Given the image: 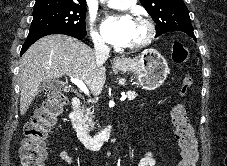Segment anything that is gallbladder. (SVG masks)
I'll return each mask as SVG.
<instances>
[{"instance_id": "gallbladder-1", "label": "gallbladder", "mask_w": 227, "mask_h": 166, "mask_svg": "<svg viewBox=\"0 0 227 166\" xmlns=\"http://www.w3.org/2000/svg\"><path fill=\"white\" fill-rule=\"evenodd\" d=\"M54 88H59V89H62L64 91L67 90V88L64 85H62L61 83H59L57 81H49V82L41 84V89L43 91H47L49 89H54Z\"/></svg>"}]
</instances>
